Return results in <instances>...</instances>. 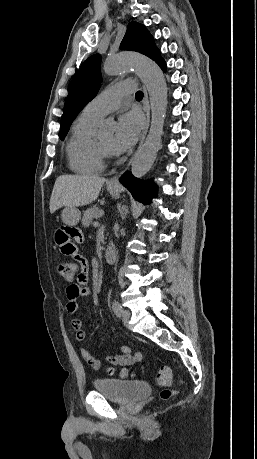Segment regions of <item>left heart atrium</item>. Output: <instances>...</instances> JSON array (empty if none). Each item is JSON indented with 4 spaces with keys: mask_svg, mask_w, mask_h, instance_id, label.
Here are the masks:
<instances>
[{
    "mask_svg": "<svg viewBox=\"0 0 257 459\" xmlns=\"http://www.w3.org/2000/svg\"><path fill=\"white\" fill-rule=\"evenodd\" d=\"M142 125V118L138 113L130 112L122 115L114 136L113 150L116 153H123L131 149L139 137Z\"/></svg>",
    "mask_w": 257,
    "mask_h": 459,
    "instance_id": "1",
    "label": "left heart atrium"
}]
</instances>
